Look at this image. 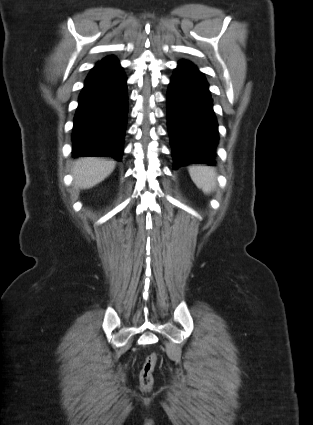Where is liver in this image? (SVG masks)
<instances>
[{"mask_svg":"<svg viewBox=\"0 0 313 425\" xmlns=\"http://www.w3.org/2000/svg\"><path fill=\"white\" fill-rule=\"evenodd\" d=\"M115 161L96 157L78 159L72 169L74 184L80 189H89L107 178L115 168Z\"/></svg>","mask_w":313,"mask_h":425,"instance_id":"6515ba94","label":"liver"}]
</instances>
